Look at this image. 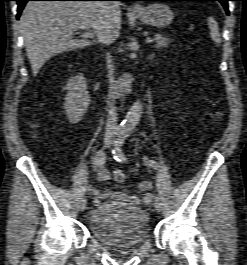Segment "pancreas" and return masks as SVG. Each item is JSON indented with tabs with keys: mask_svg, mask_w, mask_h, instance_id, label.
Masks as SVG:
<instances>
[{
	"mask_svg": "<svg viewBox=\"0 0 247 265\" xmlns=\"http://www.w3.org/2000/svg\"><path fill=\"white\" fill-rule=\"evenodd\" d=\"M154 40L156 41V44H155L156 49L167 48L171 42V39H169L168 37L162 36L160 34H157Z\"/></svg>",
	"mask_w": 247,
	"mask_h": 265,
	"instance_id": "pancreas-1",
	"label": "pancreas"
}]
</instances>
